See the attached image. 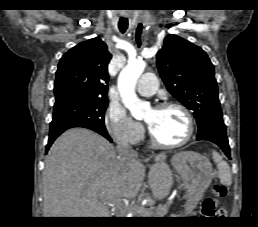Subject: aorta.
Segmentation results:
<instances>
[{
  "mask_svg": "<svg viewBox=\"0 0 258 227\" xmlns=\"http://www.w3.org/2000/svg\"><path fill=\"white\" fill-rule=\"evenodd\" d=\"M146 67L143 60H132L122 69L118 77V90L124 106L134 118L143 116L148 103L140 100L135 92L137 81Z\"/></svg>",
  "mask_w": 258,
  "mask_h": 227,
  "instance_id": "aorta-1",
  "label": "aorta"
}]
</instances>
